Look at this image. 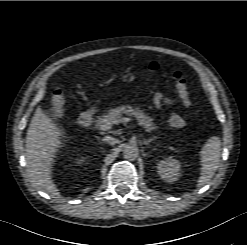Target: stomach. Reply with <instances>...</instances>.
Wrapping results in <instances>:
<instances>
[{
  "label": "stomach",
  "mask_w": 247,
  "mask_h": 245,
  "mask_svg": "<svg viewBox=\"0 0 247 245\" xmlns=\"http://www.w3.org/2000/svg\"><path fill=\"white\" fill-rule=\"evenodd\" d=\"M136 76L133 73H126L121 76L124 83H131L135 80Z\"/></svg>",
  "instance_id": "1"
}]
</instances>
